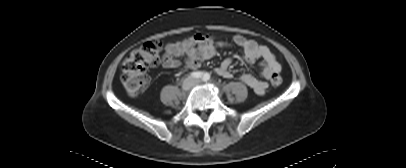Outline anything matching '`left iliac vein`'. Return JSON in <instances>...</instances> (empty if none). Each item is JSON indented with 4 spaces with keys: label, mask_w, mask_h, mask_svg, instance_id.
<instances>
[{
    "label": "left iliac vein",
    "mask_w": 406,
    "mask_h": 168,
    "mask_svg": "<svg viewBox=\"0 0 406 168\" xmlns=\"http://www.w3.org/2000/svg\"><path fill=\"white\" fill-rule=\"evenodd\" d=\"M195 83H196V84H198V83H199V81H196Z\"/></svg>",
    "instance_id": "left-iliac-vein-1"
}]
</instances>
